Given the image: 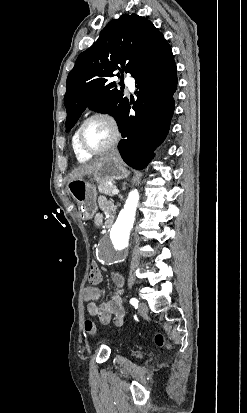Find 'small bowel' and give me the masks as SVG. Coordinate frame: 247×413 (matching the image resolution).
<instances>
[{
  "instance_id": "c3829d8e",
  "label": "small bowel",
  "mask_w": 247,
  "mask_h": 413,
  "mask_svg": "<svg viewBox=\"0 0 247 413\" xmlns=\"http://www.w3.org/2000/svg\"><path fill=\"white\" fill-rule=\"evenodd\" d=\"M99 206L105 212L108 217V221L113 222V213L115 206L104 197H100L98 200ZM95 223L97 225L102 224V215L97 214L95 217ZM111 283L113 286V295L110 300L103 302L101 305H97L96 301L100 299V289H85L84 297L89 304L87 311L91 316L99 318L100 322L104 325L109 324L112 320L117 326H122L125 316V310L123 302L120 298L123 293L124 277L121 272L113 271L111 273Z\"/></svg>"
}]
</instances>
